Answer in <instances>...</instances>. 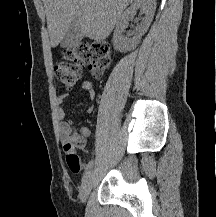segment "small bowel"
<instances>
[{"instance_id": "small-bowel-1", "label": "small bowel", "mask_w": 216, "mask_h": 217, "mask_svg": "<svg viewBox=\"0 0 216 217\" xmlns=\"http://www.w3.org/2000/svg\"><path fill=\"white\" fill-rule=\"evenodd\" d=\"M80 87L86 92L90 102H92L95 98L93 83L90 80H83L80 84ZM68 96L69 94L67 92H64L57 98V115L61 121L59 132L65 150L74 141H77L80 138H89L91 136V131L88 127H81L79 132H76L74 130V122L72 119L67 117L65 110V101L67 100ZM87 111L91 112L92 107L88 106Z\"/></svg>"}]
</instances>
